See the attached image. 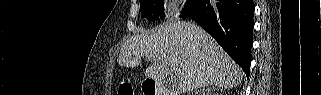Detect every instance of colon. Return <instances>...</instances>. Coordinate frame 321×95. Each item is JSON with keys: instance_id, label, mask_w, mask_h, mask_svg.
<instances>
[{"instance_id": "5ec220e1", "label": "colon", "mask_w": 321, "mask_h": 95, "mask_svg": "<svg viewBox=\"0 0 321 95\" xmlns=\"http://www.w3.org/2000/svg\"><path fill=\"white\" fill-rule=\"evenodd\" d=\"M118 94L119 95H134L133 88L130 83L122 81L118 85Z\"/></svg>"}]
</instances>
